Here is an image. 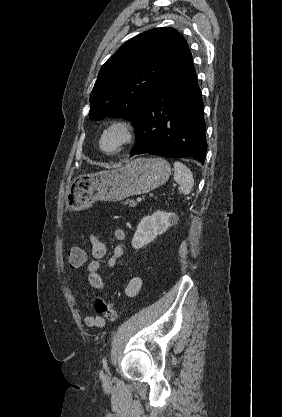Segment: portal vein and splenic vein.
Segmentation results:
<instances>
[{
	"label": "portal vein and splenic vein",
	"mask_w": 282,
	"mask_h": 417,
	"mask_svg": "<svg viewBox=\"0 0 282 417\" xmlns=\"http://www.w3.org/2000/svg\"><path fill=\"white\" fill-rule=\"evenodd\" d=\"M143 200H144V197H143V196H140V197L137 199V202H138V203H141Z\"/></svg>",
	"instance_id": "18ae733b"
}]
</instances>
